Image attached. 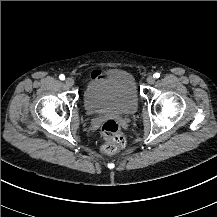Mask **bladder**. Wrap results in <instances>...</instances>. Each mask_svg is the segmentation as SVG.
Listing matches in <instances>:
<instances>
[{"label":"bladder","mask_w":217,"mask_h":217,"mask_svg":"<svg viewBox=\"0 0 217 217\" xmlns=\"http://www.w3.org/2000/svg\"><path fill=\"white\" fill-rule=\"evenodd\" d=\"M88 112L131 115L138 104V94L132 75L113 71L87 84L84 92Z\"/></svg>","instance_id":"1"}]
</instances>
